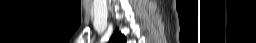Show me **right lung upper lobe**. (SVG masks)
Here are the masks:
<instances>
[{
  "instance_id": "1",
  "label": "right lung upper lobe",
  "mask_w": 256,
  "mask_h": 43,
  "mask_svg": "<svg viewBox=\"0 0 256 43\" xmlns=\"http://www.w3.org/2000/svg\"><path fill=\"white\" fill-rule=\"evenodd\" d=\"M109 42L110 43H126V38L119 32V30H116Z\"/></svg>"
}]
</instances>
